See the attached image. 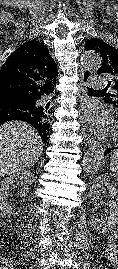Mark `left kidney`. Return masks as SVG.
I'll return each instance as SVG.
<instances>
[{"instance_id":"1","label":"left kidney","mask_w":118,"mask_h":269,"mask_svg":"<svg viewBox=\"0 0 118 269\" xmlns=\"http://www.w3.org/2000/svg\"><path fill=\"white\" fill-rule=\"evenodd\" d=\"M102 192H107L110 197L106 219L93 216L91 223L97 231L107 233L118 224V189L104 176H98L90 188L89 198L91 200H97Z\"/></svg>"}]
</instances>
